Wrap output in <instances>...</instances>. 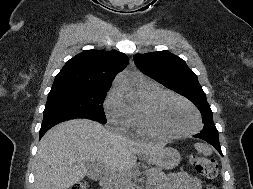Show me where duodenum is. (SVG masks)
<instances>
[{"label":"duodenum","instance_id":"1","mask_svg":"<svg viewBox=\"0 0 253 189\" xmlns=\"http://www.w3.org/2000/svg\"><path fill=\"white\" fill-rule=\"evenodd\" d=\"M112 177L111 175H105L102 179H101V186L102 189H112Z\"/></svg>","mask_w":253,"mask_h":189}]
</instances>
